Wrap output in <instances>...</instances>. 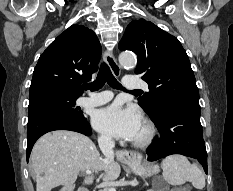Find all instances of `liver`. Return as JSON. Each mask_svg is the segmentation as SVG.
I'll return each mask as SVG.
<instances>
[{"label":"liver","instance_id":"liver-1","mask_svg":"<svg viewBox=\"0 0 233 191\" xmlns=\"http://www.w3.org/2000/svg\"><path fill=\"white\" fill-rule=\"evenodd\" d=\"M31 167L36 191H51L60 185L61 191H74L78 174L86 170L104 171L106 181L116 180L121 172L117 162L103 161L88 137L68 130H55L39 138L32 149ZM93 178L86 176L83 184H91Z\"/></svg>","mask_w":233,"mask_h":191}]
</instances>
